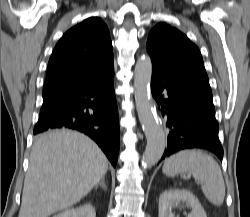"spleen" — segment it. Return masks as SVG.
Instances as JSON below:
<instances>
[{
	"instance_id": "1",
	"label": "spleen",
	"mask_w": 250,
	"mask_h": 217,
	"mask_svg": "<svg viewBox=\"0 0 250 217\" xmlns=\"http://www.w3.org/2000/svg\"><path fill=\"white\" fill-rule=\"evenodd\" d=\"M162 171L168 176L188 173L201 183L203 194L215 206L225 198V183L218 163L201 150H183L164 162Z\"/></svg>"
}]
</instances>
